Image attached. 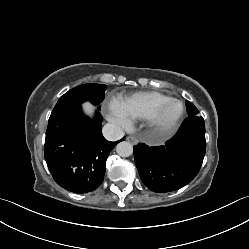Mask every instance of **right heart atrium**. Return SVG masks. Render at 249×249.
<instances>
[{
  "label": "right heart atrium",
  "instance_id": "d8ad5b80",
  "mask_svg": "<svg viewBox=\"0 0 249 249\" xmlns=\"http://www.w3.org/2000/svg\"><path fill=\"white\" fill-rule=\"evenodd\" d=\"M106 115L111 122L125 129L132 123V118L117 103L107 107Z\"/></svg>",
  "mask_w": 249,
  "mask_h": 249
}]
</instances>
